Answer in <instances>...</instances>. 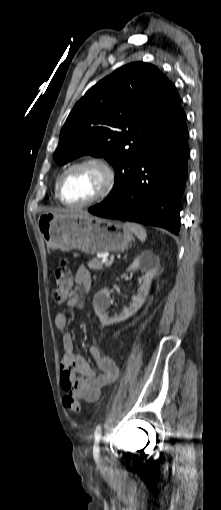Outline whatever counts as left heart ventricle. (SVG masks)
I'll use <instances>...</instances> for the list:
<instances>
[{"label": "left heart ventricle", "instance_id": "1", "mask_svg": "<svg viewBox=\"0 0 221 510\" xmlns=\"http://www.w3.org/2000/svg\"><path fill=\"white\" fill-rule=\"evenodd\" d=\"M102 184L101 172L94 167L71 171L63 182V197L67 202L79 203L94 196Z\"/></svg>", "mask_w": 221, "mask_h": 510}]
</instances>
